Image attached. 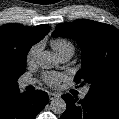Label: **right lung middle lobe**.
<instances>
[{
    "label": "right lung middle lobe",
    "mask_w": 119,
    "mask_h": 119,
    "mask_svg": "<svg viewBox=\"0 0 119 119\" xmlns=\"http://www.w3.org/2000/svg\"><path fill=\"white\" fill-rule=\"evenodd\" d=\"M26 57L27 53L22 54L17 63V77H20L26 70Z\"/></svg>",
    "instance_id": "obj_1"
}]
</instances>
